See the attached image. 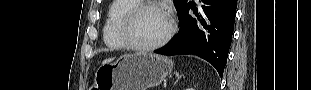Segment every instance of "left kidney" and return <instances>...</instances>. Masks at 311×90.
I'll return each instance as SVG.
<instances>
[{"mask_svg": "<svg viewBox=\"0 0 311 90\" xmlns=\"http://www.w3.org/2000/svg\"><path fill=\"white\" fill-rule=\"evenodd\" d=\"M188 90H193L192 88H188Z\"/></svg>", "mask_w": 311, "mask_h": 90, "instance_id": "5707ae66", "label": "left kidney"}]
</instances>
